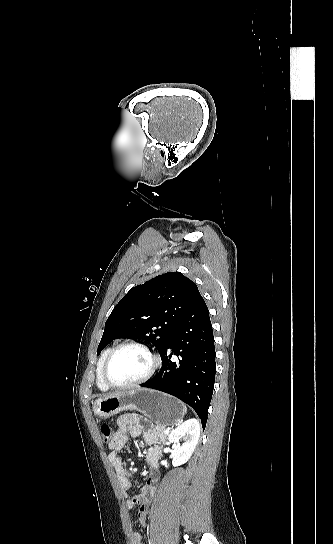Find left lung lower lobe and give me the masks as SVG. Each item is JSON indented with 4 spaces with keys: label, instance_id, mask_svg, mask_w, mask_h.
<instances>
[{
    "label": "left lung lower lobe",
    "instance_id": "0a47b994",
    "mask_svg": "<svg viewBox=\"0 0 333 544\" xmlns=\"http://www.w3.org/2000/svg\"><path fill=\"white\" fill-rule=\"evenodd\" d=\"M177 355V359H172ZM159 373L142 387L171 394L190 405L207 422L216 373L215 346L209 311L202 296L177 324L160 354Z\"/></svg>",
    "mask_w": 333,
    "mask_h": 544
}]
</instances>
